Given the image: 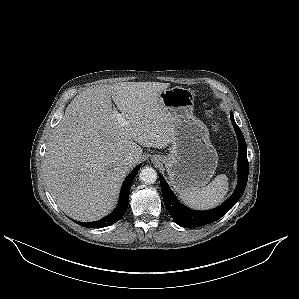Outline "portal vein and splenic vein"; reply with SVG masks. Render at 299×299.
I'll use <instances>...</instances> for the list:
<instances>
[{
    "mask_svg": "<svg viewBox=\"0 0 299 299\" xmlns=\"http://www.w3.org/2000/svg\"><path fill=\"white\" fill-rule=\"evenodd\" d=\"M115 116L118 118V120L122 126H125L127 124V122L124 119V117L122 116V114L119 113L118 111L115 113Z\"/></svg>",
    "mask_w": 299,
    "mask_h": 299,
    "instance_id": "portal-vein-and-splenic-vein-1",
    "label": "portal vein and splenic vein"
}]
</instances>
